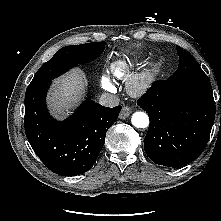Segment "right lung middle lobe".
<instances>
[{
	"mask_svg": "<svg viewBox=\"0 0 221 221\" xmlns=\"http://www.w3.org/2000/svg\"><path fill=\"white\" fill-rule=\"evenodd\" d=\"M104 48L105 42L63 47L39 68L30 85L51 81L79 63L95 59L102 54Z\"/></svg>",
	"mask_w": 221,
	"mask_h": 221,
	"instance_id": "dd1d6c3e",
	"label": "right lung middle lobe"
}]
</instances>
